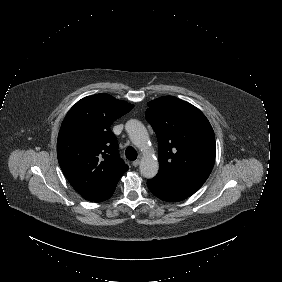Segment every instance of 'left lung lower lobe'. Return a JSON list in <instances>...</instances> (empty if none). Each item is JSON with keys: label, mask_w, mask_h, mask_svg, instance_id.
Returning a JSON list of instances; mask_svg holds the SVG:
<instances>
[{"label": "left lung lower lobe", "mask_w": 282, "mask_h": 282, "mask_svg": "<svg viewBox=\"0 0 282 282\" xmlns=\"http://www.w3.org/2000/svg\"><path fill=\"white\" fill-rule=\"evenodd\" d=\"M207 178L191 175L158 174L147 181L148 188L158 198L168 202L184 200L195 193Z\"/></svg>", "instance_id": "0a47b994"}]
</instances>
